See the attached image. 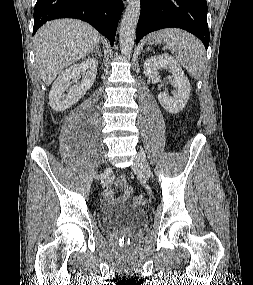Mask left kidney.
<instances>
[{
	"instance_id": "obj_1",
	"label": "left kidney",
	"mask_w": 253,
	"mask_h": 285,
	"mask_svg": "<svg viewBox=\"0 0 253 285\" xmlns=\"http://www.w3.org/2000/svg\"><path fill=\"white\" fill-rule=\"evenodd\" d=\"M167 69L172 73L171 84L176 88L173 96L165 91L160 92L158 101L169 113H178L186 105L190 96V83L177 61L168 54L148 58L144 62V74L148 78H157L160 69Z\"/></svg>"
}]
</instances>
